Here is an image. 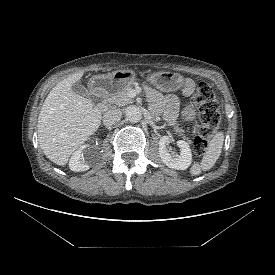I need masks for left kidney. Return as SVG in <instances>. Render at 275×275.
Segmentation results:
<instances>
[{
  "instance_id": "1",
  "label": "left kidney",
  "mask_w": 275,
  "mask_h": 275,
  "mask_svg": "<svg viewBox=\"0 0 275 275\" xmlns=\"http://www.w3.org/2000/svg\"><path fill=\"white\" fill-rule=\"evenodd\" d=\"M171 142L169 136H162L159 140V156L163 163L169 168L175 170H186L192 161V153L189 144L184 140L177 141L180 148V154L172 152L168 149Z\"/></svg>"
}]
</instances>
